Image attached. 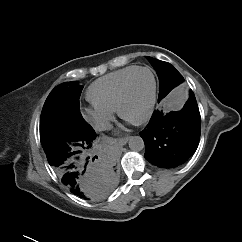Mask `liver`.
Wrapping results in <instances>:
<instances>
[{
    "mask_svg": "<svg viewBox=\"0 0 242 242\" xmlns=\"http://www.w3.org/2000/svg\"><path fill=\"white\" fill-rule=\"evenodd\" d=\"M95 195H96V194H95ZM91 198H92V199H99L98 195L94 196V194H93V196H92Z\"/></svg>",
    "mask_w": 242,
    "mask_h": 242,
    "instance_id": "1",
    "label": "liver"
}]
</instances>
